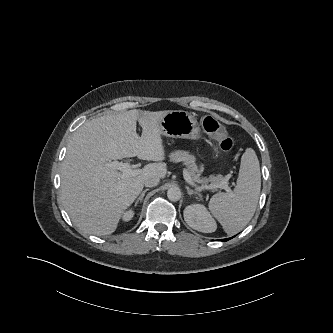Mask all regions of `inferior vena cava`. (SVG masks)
<instances>
[{"label": "inferior vena cava", "instance_id": "602c4592", "mask_svg": "<svg viewBox=\"0 0 333 333\" xmlns=\"http://www.w3.org/2000/svg\"><path fill=\"white\" fill-rule=\"evenodd\" d=\"M159 180L160 179L158 177H150L144 181V185L147 187H154L158 185Z\"/></svg>", "mask_w": 333, "mask_h": 333}]
</instances>
